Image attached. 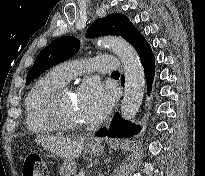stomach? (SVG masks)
Returning a JSON list of instances; mask_svg holds the SVG:
<instances>
[{
  "instance_id": "obj_1",
  "label": "stomach",
  "mask_w": 205,
  "mask_h": 176,
  "mask_svg": "<svg viewBox=\"0 0 205 176\" xmlns=\"http://www.w3.org/2000/svg\"><path fill=\"white\" fill-rule=\"evenodd\" d=\"M87 151L91 155H100L104 151L102 141L99 139H90L87 145ZM77 165L72 159H65L61 173L62 176H72L76 172Z\"/></svg>"
}]
</instances>
